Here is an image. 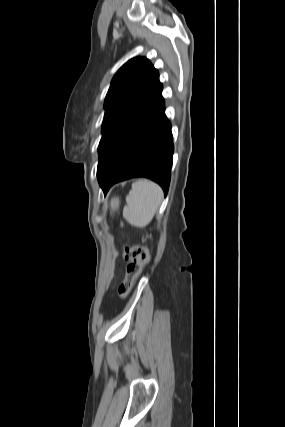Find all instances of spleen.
<instances>
[{
  "mask_svg": "<svg viewBox=\"0 0 285 427\" xmlns=\"http://www.w3.org/2000/svg\"><path fill=\"white\" fill-rule=\"evenodd\" d=\"M163 198L160 186L150 180H139L132 185L123 209L124 218L133 226L145 227L153 219Z\"/></svg>",
  "mask_w": 285,
  "mask_h": 427,
  "instance_id": "1",
  "label": "spleen"
}]
</instances>
